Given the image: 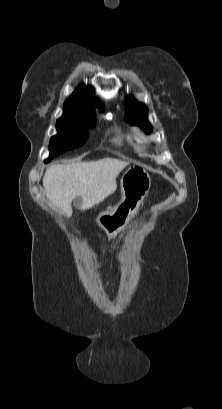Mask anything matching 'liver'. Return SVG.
<instances>
[{"label":"liver","mask_w":222,"mask_h":409,"mask_svg":"<svg viewBox=\"0 0 222 409\" xmlns=\"http://www.w3.org/2000/svg\"><path fill=\"white\" fill-rule=\"evenodd\" d=\"M128 165L113 158L52 165L45 171L43 186L48 200L70 217L76 197L81 198L78 208L88 210L113 194L117 176Z\"/></svg>","instance_id":"1"}]
</instances>
